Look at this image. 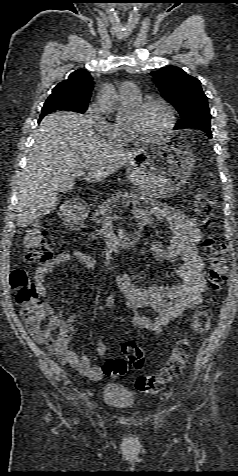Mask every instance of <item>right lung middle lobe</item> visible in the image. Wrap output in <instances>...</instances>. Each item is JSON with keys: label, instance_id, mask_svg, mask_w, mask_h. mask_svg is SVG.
Returning <instances> with one entry per match:
<instances>
[{"label": "right lung middle lobe", "instance_id": "right-lung-middle-lobe-1", "mask_svg": "<svg viewBox=\"0 0 238 476\" xmlns=\"http://www.w3.org/2000/svg\"><path fill=\"white\" fill-rule=\"evenodd\" d=\"M87 105H76L71 103L65 96L60 94H55L49 96L46 100L43 108L40 119L44 117L46 114L55 111H73L77 113H84L87 109Z\"/></svg>", "mask_w": 238, "mask_h": 476}]
</instances>
